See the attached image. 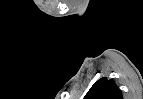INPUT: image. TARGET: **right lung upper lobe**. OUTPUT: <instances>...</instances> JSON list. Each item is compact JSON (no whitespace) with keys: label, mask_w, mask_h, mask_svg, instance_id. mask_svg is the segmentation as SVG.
<instances>
[{"label":"right lung upper lobe","mask_w":143,"mask_h":99,"mask_svg":"<svg viewBox=\"0 0 143 99\" xmlns=\"http://www.w3.org/2000/svg\"><path fill=\"white\" fill-rule=\"evenodd\" d=\"M84 99H123V97L114 80L103 77L93 84Z\"/></svg>","instance_id":"obj_1"}]
</instances>
